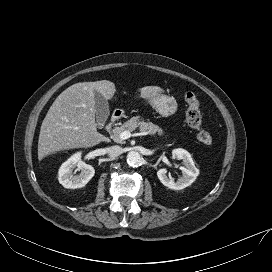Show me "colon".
Wrapping results in <instances>:
<instances>
[{
	"label": "colon",
	"instance_id": "1",
	"mask_svg": "<svg viewBox=\"0 0 272 272\" xmlns=\"http://www.w3.org/2000/svg\"><path fill=\"white\" fill-rule=\"evenodd\" d=\"M184 101L186 103V122L190 128H192L199 142L204 145H211L213 138L209 132L202 127V117L200 112V103L197 96L187 91L184 94Z\"/></svg>",
	"mask_w": 272,
	"mask_h": 272
}]
</instances>
